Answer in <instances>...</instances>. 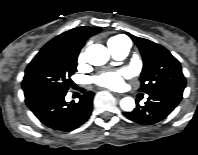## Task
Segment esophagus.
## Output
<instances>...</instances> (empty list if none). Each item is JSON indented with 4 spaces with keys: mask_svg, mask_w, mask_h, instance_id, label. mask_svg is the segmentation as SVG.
Here are the masks:
<instances>
[{
    "mask_svg": "<svg viewBox=\"0 0 198 155\" xmlns=\"http://www.w3.org/2000/svg\"><path fill=\"white\" fill-rule=\"evenodd\" d=\"M114 96L116 98H122L124 96V94H118V93H114Z\"/></svg>",
    "mask_w": 198,
    "mask_h": 155,
    "instance_id": "1",
    "label": "esophagus"
}]
</instances>
